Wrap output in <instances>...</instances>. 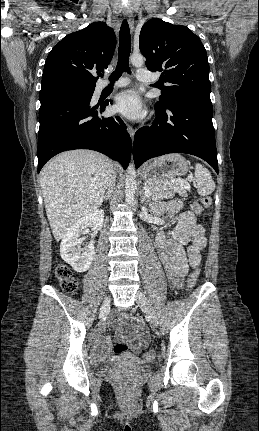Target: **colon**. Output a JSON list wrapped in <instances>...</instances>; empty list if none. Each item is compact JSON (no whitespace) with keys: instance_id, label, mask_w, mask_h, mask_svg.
I'll return each instance as SVG.
<instances>
[{"instance_id":"5ec220e1","label":"colon","mask_w":259,"mask_h":431,"mask_svg":"<svg viewBox=\"0 0 259 431\" xmlns=\"http://www.w3.org/2000/svg\"><path fill=\"white\" fill-rule=\"evenodd\" d=\"M201 205L204 208H209L212 205V199L209 196H205L203 198H201L200 200ZM199 203H191L190 204V209L191 210H195V215H200L203 211L204 208L201 206ZM56 276L59 279L62 288L66 291V292H70V293H74L77 290V280L72 276L71 271L68 267H66L65 265H60L58 266V268L56 269ZM199 278V270L198 269H194L188 277V287L189 290H192ZM127 350V346L123 343H117L114 346V352L115 353H122L125 352ZM154 358V352L153 351H147L144 353L143 359L148 362L151 361ZM123 382L125 384L130 383V377L128 376H124L122 378Z\"/></svg>"}]
</instances>
